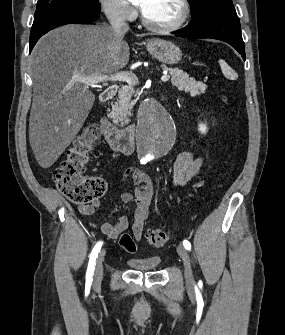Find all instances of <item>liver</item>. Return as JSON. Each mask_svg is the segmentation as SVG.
<instances>
[{
  "label": "liver",
  "instance_id": "liver-1",
  "mask_svg": "<svg viewBox=\"0 0 285 335\" xmlns=\"http://www.w3.org/2000/svg\"><path fill=\"white\" fill-rule=\"evenodd\" d=\"M111 26L68 24L45 34L31 54L33 100L29 142L41 168L70 146L95 102L81 76H113L129 62V46Z\"/></svg>",
  "mask_w": 285,
  "mask_h": 335
}]
</instances>
